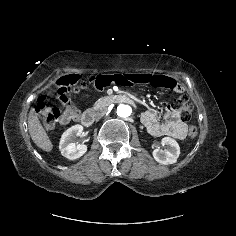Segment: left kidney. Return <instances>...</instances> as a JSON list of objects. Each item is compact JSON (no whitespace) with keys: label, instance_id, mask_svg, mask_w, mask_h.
<instances>
[{"label":"left kidney","instance_id":"1","mask_svg":"<svg viewBox=\"0 0 236 236\" xmlns=\"http://www.w3.org/2000/svg\"><path fill=\"white\" fill-rule=\"evenodd\" d=\"M162 145L166 146L165 150L156 148L153 150L154 159L164 165L173 164L177 161L180 155L179 144L170 137H164L161 140Z\"/></svg>","mask_w":236,"mask_h":236}]
</instances>
